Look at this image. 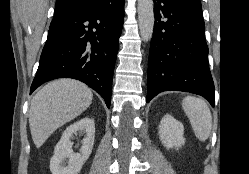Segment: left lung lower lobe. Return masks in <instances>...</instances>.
<instances>
[{"mask_svg":"<svg viewBox=\"0 0 249 174\" xmlns=\"http://www.w3.org/2000/svg\"><path fill=\"white\" fill-rule=\"evenodd\" d=\"M155 24L149 51L147 102L167 90L191 92L214 106L203 15L178 0H153Z\"/></svg>","mask_w":249,"mask_h":174,"instance_id":"0a47b994","label":"left lung lower lobe"}]
</instances>
